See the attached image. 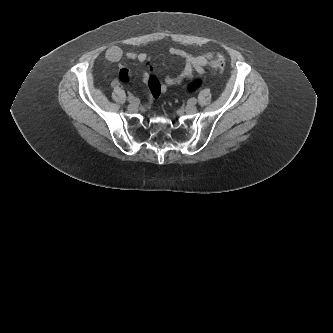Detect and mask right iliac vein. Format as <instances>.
I'll return each mask as SVG.
<instances>
[{
  "instance_id": "obj_1",
  "label": "right iliac vein",
  "mask_w": 333,
  "mask_h": 333,
  "mask_svg": "<svg viewBox=\"0 0 333 333\" xmlns=\"http://www.w3.org/2000/svg\"><path fill=\"white\" fill-rule=\"evenodd\" d=\"M137 109H138V106L135 103H132V104L128 105V111L129 112H136Z\"/></svg>"
}]
</instances>
